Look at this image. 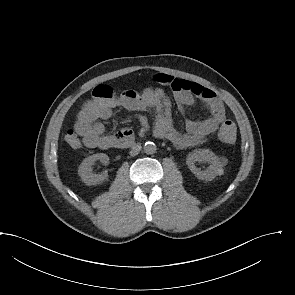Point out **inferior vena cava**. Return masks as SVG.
<instances>
[{"label":"inferior vena cava","mask_w":295,"mask_h":295,"mask_svg":"<svg viewBox=\"0 0 295 295\" xmlns=\"http://www.w3.org/2000/svg\"><path fill=\"white\" fill-rule=\"evenodd\" d=\"M140 150H141V146L138 144H135L130 151V155L135 156L140 152Z\"/></svg>","instance_id":"obj_1"}]
</instances>
